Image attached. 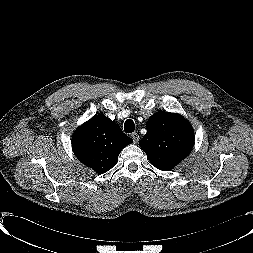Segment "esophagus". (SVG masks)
Segmentation results:
<instances>
[{
  "mask_svg": "<svg viewBox=\"0 0 253 253\" xmlns=\"http://www.w3.org/2000/svg\"><path fill=\"white\" fill-rule=\"evenodd\" d=\"M131 137H132V139H133V141H134L135 144L138 143V141H139V135H138V133H136V132L132 133Z\"/></svg>",
  "mask_w": 253,
  "mask_h": 253,
  "instance_id": "34e87169",
  "label": "esophagus"
}]
</instances>
